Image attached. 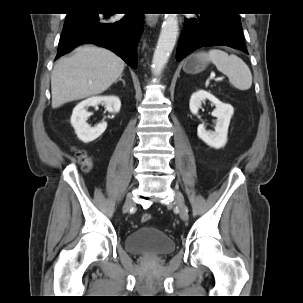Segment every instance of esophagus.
<instances>
[{
    "mask_svg": "<svg viewBox=\"0 0 303 303\" xmlns=\"http://www.w3.org/2000/svg\"><path fill=\"white\" fill-rule=\"evenodd\" d=\"M145 20L148 26L152 27L155 26L158 22V16L154 14H146Z\"/></svg>",
    "mask_w": 303,
    "mask_h": 303,
    "instance_id": "34e87169",
    "label": "esophagus"
}]
</instances>
